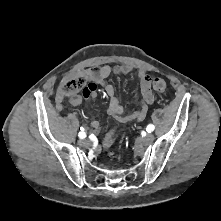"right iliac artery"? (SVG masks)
I'll use <instances>...</instances> for the list:
<instances>
[{"label":"right iliac artery","instance_id":"obj_1","mask_svg":"<svg viewBox=\"0 0 221 221\" xmlns=\"http://www.w3.org/2000/svg\"><path fill=\"white\" fill-rule=\"evenodd\" d=\"M78 136L80 139H84L86 137V133L83 131V129L81 132H79Z\"/></svg>","mask_w":221,"mask_h":221}]
</instances>
